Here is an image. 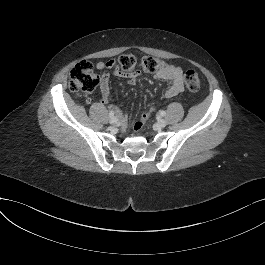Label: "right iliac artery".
Returning <instances> with one entry per match:
<instances>
[{
    "label": "right iliac artery",
    "mask_w": 265,
    "mask_h": 265,
    "mask_svg": "<svg viewBox=\"0 0 265 265\" xmlns=\"http://www.w3.org/2000/svg\"><path fill=\"white\" fill-rule=\"evenodd\" d=\"M109 116H110V117H113V116H114V112H113V111H110V112H109Z\"/></svg>",
    "instance_id": "82829eb1"
}]
</instances>
